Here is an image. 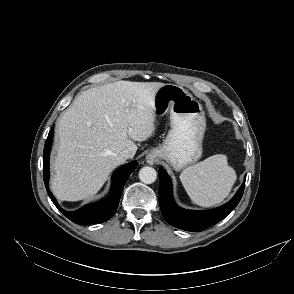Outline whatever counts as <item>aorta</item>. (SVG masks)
<instances>
[{"mask_svg": "<svg viewBox=\"0 0 294 294\" xmlns=\"http://www.w3.org/2000/svg\"><path fill=\"white\" fill-rule=\"evenodd\" d=\"M157 172L154 168L146 166L140 169L139 179L145 184H152L156 181Z\"/></svg>", "mask_w": 294, "mask_h": 294, "instance_id": "1", "label": "aorta"}]
</instances>
